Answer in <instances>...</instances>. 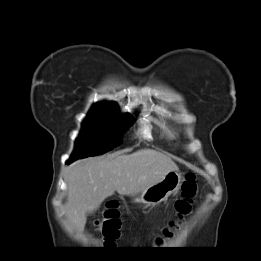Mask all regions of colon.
<instances>
[{"mask_svg": "<svg viewBox=\"0 0 261 261\" xmlns=\"http://www.w3.org/2000/svg\"><path fill=\"white\" fill-rule=\"evenodd\" d=\"M197 185L194 176L188 174L182 185V194L175 203V209L178 217L188 214L192 209V200L196 194ZM178 221H173L166 229L165 233L170 234V229L177 226ZM97 226L100 233L105 239L106 243L112 245L114 241L119 237L121 221L120 213L115 205L108 206L101 214L97 221Z\"/></svg>", "mask_w": 261, "mask_h": 261, "instance_id": "1", "label": "colon"}]
</instances>
